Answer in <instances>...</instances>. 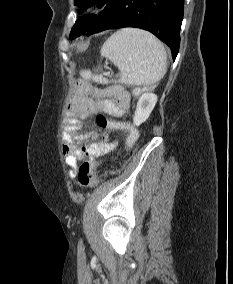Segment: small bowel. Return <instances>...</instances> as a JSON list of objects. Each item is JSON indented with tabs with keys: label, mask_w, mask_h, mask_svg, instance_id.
Returning <instances> with one entry per match:
<instances>
[{
	"label": "small bowel",
	"mask_w": 233,
	"mask_h": 284,
	"mask_svg": "<svg viewBox=\"0 0 233 284\" xmlns=\"http://www.w3.org/2000/svg\"><path fill=\"white\" fill-rule=\"evenodd\" d=\"M129 104L130 94L121 87L100 89L83 81L74 83L67 103L68 122L63 145V154L66 164L70 167L69 176L71 178L76 175L79 161L87 158L93 162L109 154L117 144L116 139L109 138L107 135L100 142L87 143L86 140L95 139L97 134H81L82 120L98 112L120 118L128 109ZM110 129L112 128H108Z\"/></svg>",
	"instance_id": "c3829d8e"
}]
</instances>
